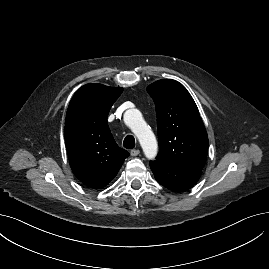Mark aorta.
I'll use <instances>...</instances> for the list:
<instances>
[{
    "instance_id": "762f6f07",
    "label": "aorta",
    "mask_w": 269,
    "mask_h": 269,
    "mask_svg": "<svg viewBox=\"0 0 269 269\" xmlns=\"http://www.w3.org/2000/svg\"><path fill=\"white\" fill-rule=\"evenodd\" d=\"M124 121L138 138L145 156L148 159H154L158 153L157 140L154 133L143 121L140 111L137 109L127 110L124 114Z\"/></svg>"
}]
</instances>
